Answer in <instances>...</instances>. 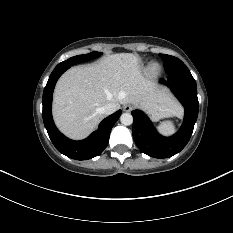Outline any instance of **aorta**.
Masks as SVG:
<instances>
[{
  "label": "aorta",
  "instance_id": "obj_1",
  "mask_svg": "<svg viewBox=\"0 0 233 233\" xmlns=\"http://www.w3.org/2000/svg\"><path fill=\"white\" fill-rule=\"evenodd\" d=\"M120 122L123 125H131L133 123V116L130 113H123L120 116Z\"/></svg>",
  "mask_w": 233,
  "mask_h": 233
}]
</instances>
